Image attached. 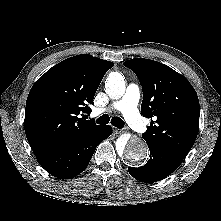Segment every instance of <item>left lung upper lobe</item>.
<instances>
[{"mask_svg": "<svg viewBox=\"0 0 221 221\" xmlns=\"http://www.w3.org/2000/svg\"><path fill=\"white\" fill-rule=\"evenodd\" d=\"M123 64L135 72L142 85V115L154 119L143 139L147 145L185 158L199 130L196 91L185 77L157 61L136 58Z\"/></svg>", "mask_w": 221, "mask_h": 221, "instance_id": "5c2ea615", "label": "left lung upper lobe"}]
</instances>
